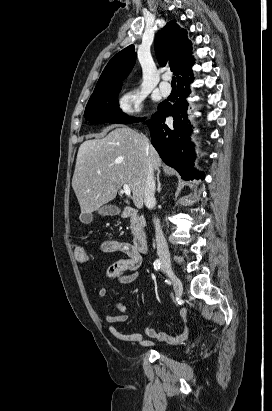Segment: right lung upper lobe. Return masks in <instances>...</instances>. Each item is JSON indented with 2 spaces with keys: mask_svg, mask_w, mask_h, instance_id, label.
<instances>
[{
  "mask_svg": "<svg viewBox=\"0 0 272 411\" xmlns=\"http://www.w3.org/2000/svg\"><path fill=\"white\" fill-rule=\"evenodd\" d=\"M155 51L161 66L167 63L177 75L178 85L193 80L192 66L194 57L192 43L187 38V31L179 27L175 20L161 29L155 38ZM134 46L130 45L118 52L106 65L95 89L120 84L130 73L136 61Z\"/></svg>",
  "mask_w": 272,
  "mask_h": 411,
  "instance_id": "right-lung-upper-lobe-1",
  "label": "right lung upper lobe"
}]
</instances>
